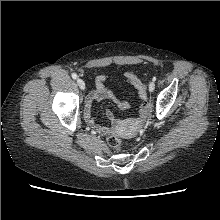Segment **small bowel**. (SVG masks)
<instances>
[{
    "label": "small bowel",
    "mask_w": 220,
    "mask_h": 220,
    "mask_svg": "<svg viewBox=\"0 0 220 220\" xmlns=\"http://www.w3.org/2000/svg\"><path fill=\"white\" fill-rule=\"evenodd\" d=\"M124 80L135 87L139 95V98L142 101V106H143L144 102L148 101L146 85L138 77V75L131 70H128L124 73ZM108 81L109 79L106 76L101 75L97 77L96 88L85 98L84 109H83V115L86 123L91 127H93L94 129H96L101 134H105L108 128L104 125L98 124L93 116L92 104L95 100L109 99L121 109H127L129 107L127 101L121 100L118 97H116L115 94L112 92V90L107 87ZM108 116L112 117L113 115L112 113H109Z\"/></svg>",
    "instance_id": "1"
}]
</instances>
